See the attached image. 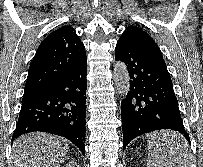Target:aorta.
Wrapping results in <instances>:
<instances>
[{
	"mask_svg": "<svg viewBox=\"0 0 203 167\" xmlns=\"http://www.w3.org/2000/svg\"><path fill=\"white\" fill-rule=\"evenodd\" d=\"M113 80L116 85L118 94L122 97H126L130 87V77L127 66L122 61L114 63Z\"/></svg>",
	"mask_w": 203,
	"mask_h": 167,
	"instance_id": "1",
	"label": "aorta"
}]
</instances>
